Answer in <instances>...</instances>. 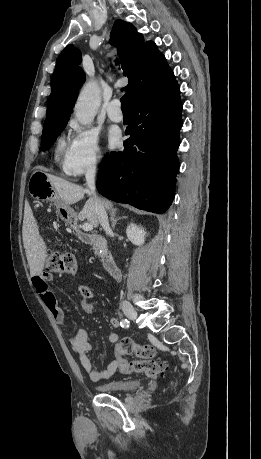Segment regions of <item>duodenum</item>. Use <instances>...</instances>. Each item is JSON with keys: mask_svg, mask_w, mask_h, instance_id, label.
<instances>
[{"mask_svg": "<svg viewBox=\"0 0 261 459\" xmlns=\"http://www.w3.org/2000/svg\"><path fill=\"white\" fill-rule=\"evenodd\" d=\"M73 229V232L74 234L76 235V237L86 243V244H90L92 242H96L98 243L102 248L105 247L106 245V242L104 240V238H102L101 236H96V235H90V234H86L84 232H82L77 226L73 225L72 227ZM102 264H103V267L104 269L107 271V273L114 279H117L119 278L120 276V270L113 258V256L106 250L103 251V254H102Z\"/></svg>", "mask_w": 261, "mask_h": 459, "instance_id": "1", "label": "duodenum"}]
</instances>
